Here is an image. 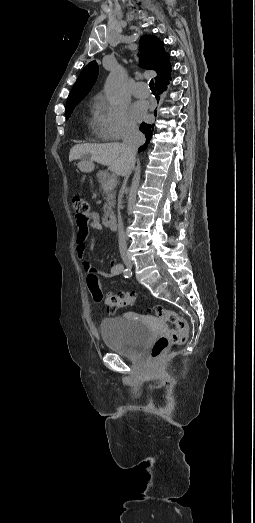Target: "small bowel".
I'll list each match as a JSON object with an SVG mask.
<instances>
[{
  "mask_svg": "<svg viewBox=\"0 0 255 523\" xmlns=\"http://www.w3.org/2000/svg\"><path fill=\"white\" fill-rule=\"evenodd\" d=\"M94 229L103 232V226L100 221V215L97 212H90L87 215V222L85 224L78 223L77 233V257L82 261L84 270L89 274L100 275L104 278H113L120 275L123 272V266L116 261H112L109 270L102 271L92 268L91 264L86 260L87 249L94 250L97 248V244L94 241H90L89 245L86 246V242L89 238V230Z\"/></svg>",
  "mask_w": 255,
  "mask_h": 523,
  "instance_id": "c3829d8e",
  "label": "small bowel"
}]
</instances>
